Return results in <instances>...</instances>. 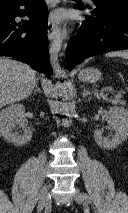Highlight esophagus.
I'll use <instances>...</instances> for the list:
<instances>
[{"label": "esophagus", "mask_w": 128, "mask_h": 213, "mask_svg": "<svg viewBox=\"0 0 128 213\" xmlns=\"http://www.w3.org/2000/svg\"><path fill=\"white\" fill-rule=\"evenodd\" d=\"M56 1H59V0H56ZM57 30H58V26L54 23V21L50 17L48 20V26H47L49 40L52 41L54 39Z\"/></svg>", "instance_id": "1"}]
</instances>
